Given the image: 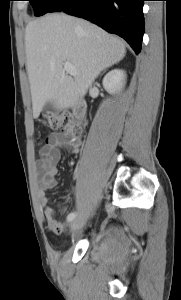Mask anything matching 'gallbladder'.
<instances>
[{
  "instance_id": "gallbladder-1",
  "label": "gallbladder",
  "mask_w": 181,
  "mask_h": 300,
  "mask_svg": "<svg viewBox=\"0 0 181 300\" xmlns=\"http://www.w3.org/2000/svg\"><path fill=\"white\" fill-rule=\"evenodd\" d=\"M56 106L54 105L53 102H47L45 105H44V110L45 111H50V110H56Z\"/></svg>"
}]
</instances>
